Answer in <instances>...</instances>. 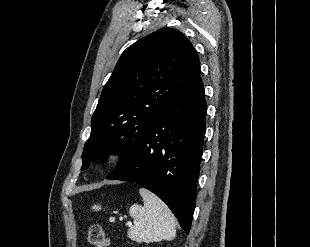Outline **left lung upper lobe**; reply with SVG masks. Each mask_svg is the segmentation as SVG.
Segmentation results:
<instances>
[{
    "label": "left lung upper lobe",
    "instance_id": "1",
    "mask_svg": "<svg viewBox=\"0 0 310 247\" xmlns=\"http://www.w3.org/2000/svg\"><path fill=\"white\" fill-rule=\"evenodd\" d=\"M200 75V61L178 30L162 28L129 46L105 84L91 119L81 170L108 151L118 165L138 149L162 112Z\"/></svg>",
    "mask_w": 310,
    "mask_h": 247
}]
</instances>
